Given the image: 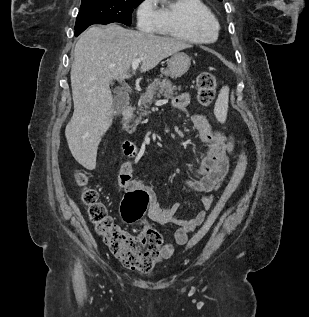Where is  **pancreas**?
I'll return each mask as SVG.
<instances>
[{"label":"pancreas","instance_id":"pancreas-1","mask_svg":"<svg viewBox=\"0 0 309 317\" xmlns=\"http://www.w3.org/2000/svg\"><path fill=\"white\" fill-rule=\"evenodd\" d=\"M180 90V87H176L172 85L171 81L164 79H155L147 88L145 93L140 95V99L138 102V111L137 115L138 117H133L135 125L134 127L129 131L130 133L134 132L136 129V126L140 123L143 116L146 114V108L152 103V101L158 97L161 96L165 98H172L174 94L177 93V91ZM130 127L127 126L126 129L128 130Z\"/></svg>","mask_w":309,"mask_h":317}]
</instances>
